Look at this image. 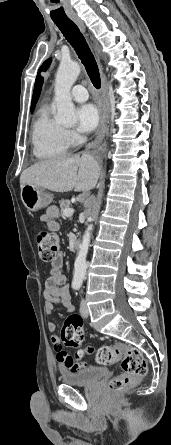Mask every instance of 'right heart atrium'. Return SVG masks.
Masks as SVG:
<instances>
[{
    "mask_svg": "<svg viewBox=\"0 0 171 445\" xmlns=\"http://www.w3.org/2000/svg\"><path fill=\"white\" fill-rule=\"evenodd\" d=\"M67 135H68L70 141H76L78 139L77 134L72 130H68Z\"/></svg>",
    "mask_w": 171,
    "mask_h": 445,
    "instance_id": "right-heart-atrium-1",
    "label": "right heart atrium"
}]
</instances>
